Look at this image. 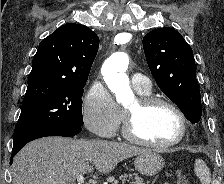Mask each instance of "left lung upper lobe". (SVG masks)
<instances>
[{
    "instance_id": "left-lung-upper-lobe-1",
    "label": "left lung upper lobe",
    "mask_w": 224,
    "mask_h": 184,
    "mask_svg": "<svg viewBox=\"0 0 224 184\" xmlns=\"http://www.w3.org/2000/svg\"><path fill=\"white\" fill-rule=\"evenodd\" d=\"M148 66L159 88L192 123L201 118V96L190 45L173 28L149 32L143 38Z\"/></svg>"
}]
</instances>
